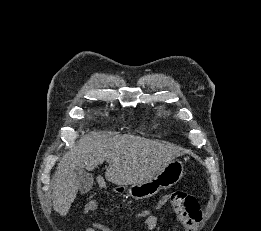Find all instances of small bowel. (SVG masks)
<instances>
[{"mask_svg":"<svg viewBox=\"0 0 261 231\" xmlns=\"http://www.w3.org/2000/svg\"><path fill=\"white\" fill-rule=\"evenodd\" d=\"M99 207V202L96 199H89L84 206V213L90 214L95 212ZM141 215L145 216V226L149 231H154L158 227V219L155 215L151 214L149 211H144ZM184 226L185 231H198L200 228L199 222L189 221L184 222L177 218ZM85 231H114L111 227L102 224L94 223L92 226L86 228Z\"/></svg>","mask_w":261,"mask_h":231,"instance_id":"1","label":"small bowel"}]
</instances>
